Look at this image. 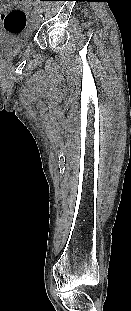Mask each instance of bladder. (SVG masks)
<instances>
[{"instance_id": "31cf9c89", "label": "bladder", "mask_w": 131, "mask_h": 311, "mask_svg": "<svg viewBox=\"0 0 131 311\" xmlns=\"http://www.w3.org/2000/svg\"><path fill=\"white\" fill-rule=\"evenodd\" d=\"M27 46V39L0 37V62L17 57Z\"/></svg>"}]
</instances>
